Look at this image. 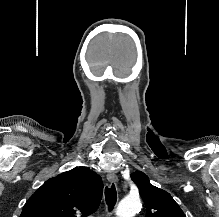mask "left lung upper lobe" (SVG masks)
<instances>
[{
	"mask_svg": "<svg viewBox=\"0 0 219 217\" xmlns=\"http://www.w3.org/2000/svg\"><path fill=\"white\" fill-rule=\"evenodd\" d=\"M146 205V217H186L171 195L153 186L141 171L131 174Z\"/></svg>",
	"mask_w": 219,
	"mask_h": 217,
	"instance_id": "left-lung-upper-lobe-1",
	"label": "left lung upper lobe"
}]
</instances>
